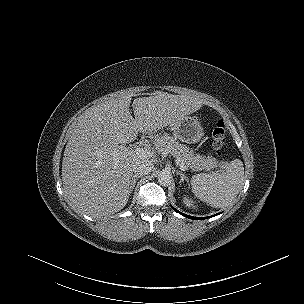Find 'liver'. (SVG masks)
I'll return each instance as SVG.
<instances>
[{
    "instance_id": "obj_1",
    "label": "liver",
    "mask_w": 304,
    "mask_h": 304,
    "mask_svg": "<svg viewBox=\"0 0 304 304\" xmlns=\"http://www.w3.org/2000/svg\"><path fill=\"white\" fill-rule=\"evenodd\" d=\"M110 99L87 109L64 151L62 181L73 207L91 217L110 215L125 207L130 196L133 164L147 159L123 145L138 133L161 130L202 107L194 96L158 94Z\"/></svg>"
}]
</instances>
